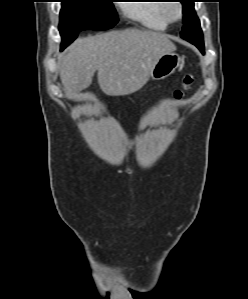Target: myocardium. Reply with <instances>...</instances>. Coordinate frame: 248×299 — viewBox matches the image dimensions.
Returning a JSON list of instances; mask_svg holds the SVG:
<instances>
[{
	"label": "myocardium",
	"mask_w": 248,
	"mask_h": 299,
	"mask_svg": "<svg viewBox=\"0 0 248 299\" xmlns=\"http://www.w3.org/2000/svg\"><path fill=\"white\" fill-rule=\"evenodd\" d=\"M173 6L178 9L179 14L177 17H173L170 15V8ZM161 12L164 19L168 23H175L180 21L183 18V5L178 1H174L173 3H164Z\"/></svg>",
	"instance_id": "myocardium-1"
}]
</instances>
